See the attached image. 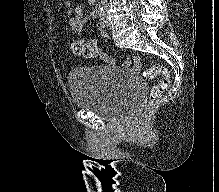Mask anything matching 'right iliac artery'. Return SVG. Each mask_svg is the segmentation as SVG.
Segmentation results:
<instances>
[{"label": "right iliac artery", "mask_w": 219, "mask_h": 192, "mask_svg": "<svg viewBox=\"0 0 219 192\" xmlns=\"http://www.w3.org/2000/svg\"><path fill=\"white\" fill-rule=\"evenodd\" d=\"M104 10V6L102 4H98L95 8V12L97 15L101 16Z\"/></svg>", "instance_id": "obj_1"}]
</instances>
